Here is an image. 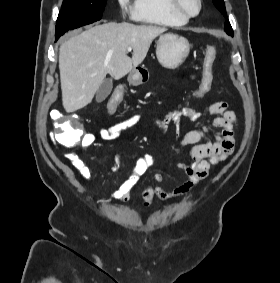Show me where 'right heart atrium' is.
<instances>
[{"mask_svg": "<svg viewBox=\"0 0 280 283\" xmlns=\"http://www.w3.org/2000/svg\"><path fill=\"white\" fill-rule=\"evenodd\" d=\"M117 1H118V5H119L120 9L123 12H126L128 10L129 0H117Z\"/></svg>", "mask_w": 280, "mask_h": 283, "instance_id": "d8ad5b80", "label": "right heart atrium"}]
</instances>
